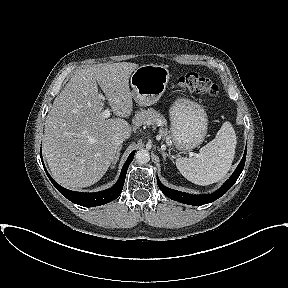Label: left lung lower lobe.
I'll list each match as a JSON object with an SVG mask.
<instances>
[{
	"mask_svg": "<svg viewBox=\"0 0 288 288\" xmlns=\"http://www.w3.org/2000/svg\"><path fill=\"white\" fill-rule=\"evenodd\" d=\"M246 153H247V146L243 155V158L241 162L239 163L238 167L234 171V173L231 175V177L223 184V186L217 190L216 192L210 194V195H192L185 192L176 191L170 188L165 187L161 184L160 180L157 178V184L160 188V190L163 192L164 195L169 197L172 200H176L181 203H185L188 205H203L207 203H211L218 198H220L222 195H224L236 182L238 177L240 176L246 160Z\"/></svg>",
	"mask_w": 288,
	"mask_h": 288,
	"instance_id": "1",
	"label": "left lung lower lobe"
}]
</instances>
